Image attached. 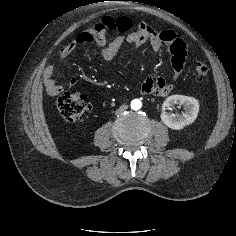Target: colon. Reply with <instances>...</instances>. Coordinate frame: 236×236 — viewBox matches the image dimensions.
<instances>
[{"label": "colon", "instance_id": "colon-1", "mask_svg": "<svg viewBox=\"0 0 236 236\" xmlns=\"http://www.w3.org/2000/svg\"><path fill=\"white\" fill-rule=\"evenodd\" d=\"M130 21L128 18H118L115 23L120 26L121 30H125ZM194 73L198 81H203L208 76L209 67L206 64L198 63ZM57 108L65 121L75 123L81 120L90 108V100L85 94L64 93L57 99Z\"/></svg>", "mask_w": 236, "mask_h": 236}]
</instances>
